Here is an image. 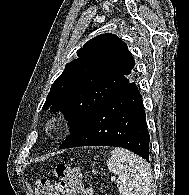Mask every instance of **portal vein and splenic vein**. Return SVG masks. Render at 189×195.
I'll return each instance as SVG.
<instances>
[{
    "instance_id": "obj_1",
    "label": "portal vein and splenic vein",
    "mask_w": 189,
    "mask_h": 195,
    "mask_svg": "<svg viewBox=\"0 0 189 195\" xmlns=\"http://www.w3.org/2000/svg\"><path fill=\"white\" fill-rule=\"evenodd\" d=\"M116 180V177H111V181H115Z\"/></svg>"
}]
</instances>
